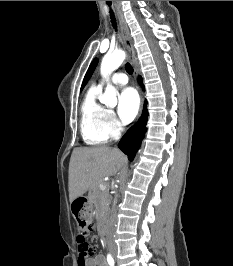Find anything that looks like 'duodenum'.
I'll use <instances>...</instances> for the list:
<instances>
[{
  "mask_svg": "<svg viewBox=\"0 0 233 266\" xmlns=\"http://www.w3.org/2000/svg\"><path fill=\"white\" fill-rule=\"evenodd\" d=\"M98 229L103 234L106 232L105 223H104L102 218H100L99 221H98Z\"/></svg>",
  "mask_w": 233,
  "mask_h": 266,
  "instance_id": "1",
  "label": "duodenum"
}]
</instances>
